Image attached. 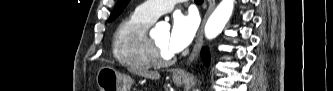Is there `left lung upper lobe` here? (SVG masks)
Wrapping results in <instances>:
<instances>
[{
	"instance_id": "5c2ea615",
	"label": "left lung upper lobe",
	"mask_w": 333,
	"mask_h": 91,
	"mask_svg": "<svg viewBox=\"0 0 333 91\" xmlns=\"http://www.w3.org/2000/svg\"><path fill=\"white\" fill-rule=\"evenodd\" d=\"M129 0H117L115 8L109 18V22L113 21L124 9V7L128 4Z\"/></svg>"
}]
</instances>
